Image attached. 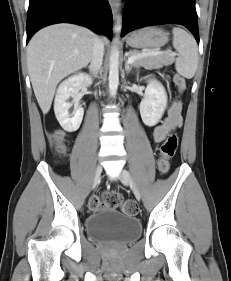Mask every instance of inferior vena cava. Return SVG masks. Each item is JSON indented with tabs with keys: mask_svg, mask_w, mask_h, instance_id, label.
I'll return each mask as SVG.
<instances>
[{
	"mask_svg": "<svg viewBox=\"0 0 231 281\" xmlns=\"http://www.w3.org/2000/svg\"><path fill=\"white\" fill-rule=\"evenodd\" d=\"M104 56V43L99 38L94 40L93 53L90 63L91 72L97 74L102 67Z\"/></svg>",
	"mask_w": 231,
	"mask_h": 281,
	"instance_id": "1",
	"label": "inferior vena cava"
}]
</instances>
